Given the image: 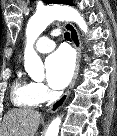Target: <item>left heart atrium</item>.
<instances>
[{"label":"left heart atrium","mask_w":117,"mask_h":136,"mask_svg":"<svg viewBox=\"0 0 117 136\" xmlns=\"http://www.w3.org/2000/svg\"><path fill=\"white\" fill-rule=\"evenodd\" d=\"M75 59L72 51L62 47L46 60L47 80L53 89H63L72 78Z\"/></svg>","instance_id":"obj_1"}]
</instances>
